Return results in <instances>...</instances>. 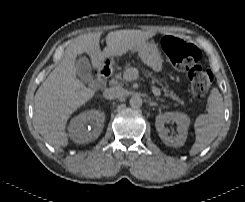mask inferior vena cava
<instances>
[{
	"mask_svg": "<svg viewBox=\"0 0 245 202\" xmlns=\"http://www.w3.org/2000/svg\"><path fill=\"white\" fill-rule=\"evenodd\" d=\"M124 95H125L124 89L119 86L107 88L103 92V96L106 99H118V98H122Z\"/></svg>",
	"mask_w": 245,
	"mask_h": 202,
	"instance_id": "inferior-vena-cava-1",
	"label": "inferior vena cava"
}]
</instances>
